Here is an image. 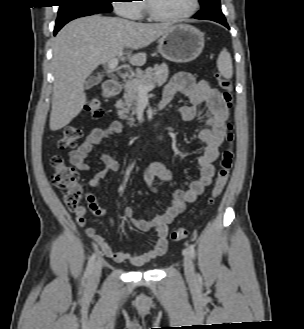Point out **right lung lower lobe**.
<instances>
[{
  "label": "right lung lower lobe",
  "mask_w": 304,
  "mask_h": 329,
  "mask_svg": "<svg viewBox=\"0 0 304 329\" xmlns=\"http://www.w3.org/2000/svg\"><path fill=\"white\" fill-rule=\"evenodd\" d=\"M95 13H90V14H83V15H79V16H76V17H73L65 22H62L61 24H58L55 26V29H54V35H56V33L66 24L68 23L69 21L75 19V18H78V17H83V16H88V15H93Z\"/></svg>",
  "instance_id": "98d812e1"
}]
</instances>
